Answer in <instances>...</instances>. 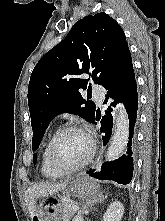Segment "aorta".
Segmentation results:
<instances>
[{
	"mask_svg": "<svg viewBox=\"0 0 165 221\" xmlns=\"http://www.w3.org/2000/svg\"><path fill=\"white\" fill-rule=\"evenodd\" d=\"M129 137V119L123 105L117 107L114 135L106 153V160L117 159L124 151Z\"/></svg>",
	"mask_w": 165,
	"mask_h": 221,
	"instance_id": "1",
	"label": "aorta"
}]
</instances>
